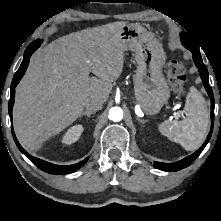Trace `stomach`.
Listing matches in <instances>:
<instances>
[{"mask_svg":"<svg viewBox=\"0 0 221 221\" xmlns=\"http://www.w3.org/2000/svg\"><path fill=\"white\" fill-rule=\"evenodd\" d=\"M125 51H133L138 65L134 75V95L146 114H157L170 97L162 73L166 55L158 40L144 27L127 24L121 31Z\"/></svg>","mask_w":221,"mask_h":221,"instance_id":"0dacf381","label":"stomach"}]
</instances>
